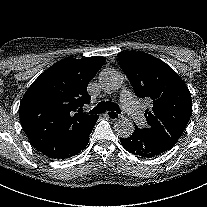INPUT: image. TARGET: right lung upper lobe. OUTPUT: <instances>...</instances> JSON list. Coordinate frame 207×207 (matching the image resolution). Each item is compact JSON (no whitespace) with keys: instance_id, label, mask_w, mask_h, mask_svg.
Segmentation results:
<instances>
[{"instance_id":"1","label":"right lung upper lobe","mask_w":207,"mask_h":207,"mask_svg":"<svg viewBox=\"0 0 207 207\" xmlns=\"http://www.w3.org/2000/svg\"><path fill=\"white\" fill-rule=\"evenodd\" d=\"M105 57L62 59L45 70L23 96L19 118L31 144L44 155L77 135L96 115L82 112L87 85Z\"/></svg>"}]
</instances>
